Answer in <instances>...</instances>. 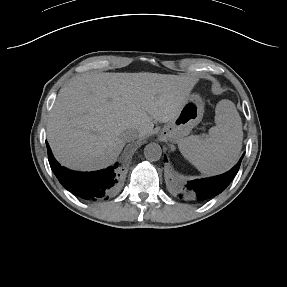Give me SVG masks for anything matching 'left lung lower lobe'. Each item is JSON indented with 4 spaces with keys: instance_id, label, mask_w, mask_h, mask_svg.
Returning a JSON list of instances; mask_svg holds the SVG:
<instances>
[{
    "instance_id": "left-lung-lower-lobe-1",
    "label": "left lung lower lobe",
    "mask_w": 287,
    "mask_h": 287,
    "mask_svg": "<svg viewBox=\"0 0 287 287\" xmlns=\"http://www.w3.org/2000/svg\"><path fill=\"white\" fill-rule=\"evenodd\" d=\"M242 158L243 156L230 171L211 178L188 181L185 188H180L178 190L175 189L174 192H178L179 198L192 201H205L211 197H214L221 193L237 174ZM164 160L166 161V157Z\"/></svg>"
}]
</instances>
